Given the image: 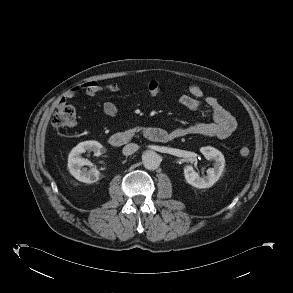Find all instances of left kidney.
Segmentation results:
<instances>
[{
    "mask_svg": "<svg viewBox=\"0 0 293 293\" xmlns=\"http://www.w3.org/2000/svg\"><path fill=\"white\" fill-rule=\"evenodd\" d=\"M200 152L207 160L214 161V167L209 168L207 175L201 177L192 166L187 165L184 167V176L187 183L195 188L203 189L213 186L218 181L225 167V159L219 150L210 146L202 147Z\"/></svg>",
    "mask_w": 293,
    "mask_h": 293,
    "instance_id": "5707ae66",
    "label": "left kidney"
}]
</instances>
